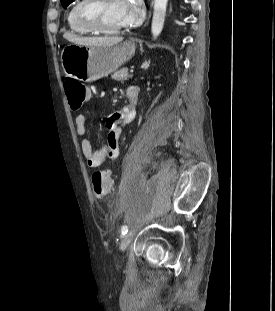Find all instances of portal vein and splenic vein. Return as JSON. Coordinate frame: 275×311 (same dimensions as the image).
Segmentation results:
<instances>
[{
  "mask_svg": "<svg viewBox=\"0 0 275 311\" xmlns=\"http://www.w3.org/2000/svg\"><path fill=\"white\" fill-rule=\"evenodd\" d=\"M133 72H134V70H133V69H131V70H130V73H133Z\"/></svg>",
  "mask_w": 275,
  "mask_h": 311,
  "instance_id": "1",
  "label": "portal vein and splenic vein"
}]
</instances>
